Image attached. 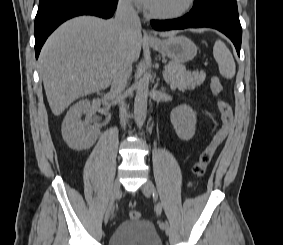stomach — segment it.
<instances>
[{
	"label": "stomach",
	"mask_w": 283,
	"mask_h": 245,
	"mask_svg": "<svg viewBox=\"0 0 283 245\" xmlns=\"http://www.w3.org/2000/svg\"><path fill=\"white\" fill-rule=\"evenodd\" d=\"M150 46L173 62L180 64L191 61L197 54L196 45L185 36H170L167 39L152 42Z\"/></svg>",
	"instance_id": "obj_1"
}]
</instances>
